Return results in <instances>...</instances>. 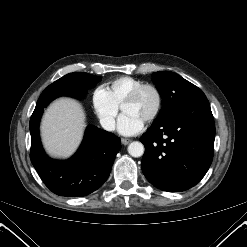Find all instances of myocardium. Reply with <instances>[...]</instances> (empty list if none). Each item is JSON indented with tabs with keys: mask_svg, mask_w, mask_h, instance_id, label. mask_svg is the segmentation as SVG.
<instances>
[{
	"mask_svg": "<svg viewBox=\"0 0 247 247\" xmlns=\"http://www.w3.org/2000/svg\"><path fill=\"white\" fill-rule=\"evenodd\" d=\"M151 90L156 96V105L151 113V115L145 120L147 123L153 122L160 114L163 105V96L161 90L154 84L144 83L137 88H135L122 103V109L125 105L136 101L141 94L146 91Z\"/></svg>",
	"mask_w": 247,
	"mask_h": 247,
	"instance_id": "obj_1",
	"label": "myocardium"
}]
</instances>
